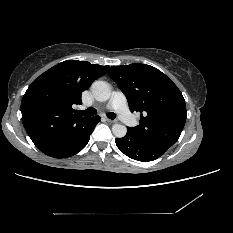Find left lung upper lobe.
I'll list each match as a JSON object with an SVG mask.
<instances>
[{
	"label": "left lung upper lobe",
	"mask_w": 233,
	"mask_h": 233,
	"mask_svg": "<svg viewBox=\"0 0 233 233\" xmlns=\"http://www.w3.org/2000/svg\"><path fill=\"white\" fill-rule=\"evenodd\" d=\"M108 72L126 95L131 112L141 114L139 125L127 131L146 144L169 149L179 139L187 116L178 87L146 64L112 66Z\"/></svg>",
	"instance_id": "obj_1"
}]
</instances>
